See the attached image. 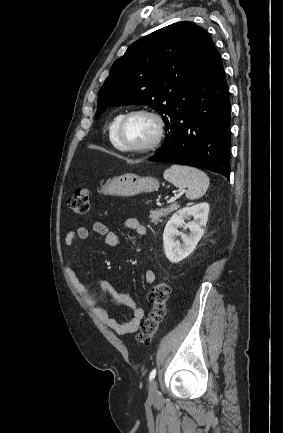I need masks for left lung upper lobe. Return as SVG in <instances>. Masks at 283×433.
Masks as SVG:
<instances>
[{
  "instance_id": "left-lung-upper-lobe-1",
  "label": "left lung upper lobe",
  "mask_w": 283,
  "mask_h": 433,
  "mask_svg": "<svg viewBox=\"0 0 283 433\" xmlns=\"http://www.w3.org/2000/svg\"><path fill=\"white\" fill-rule=\"evenodd\" d=\"M214 48L207 32L189 21L161 28L132 43L98 92L96 119L109 106L145 104L166 125L191 106V86Z\"/></svg>"
}]
</instances>
